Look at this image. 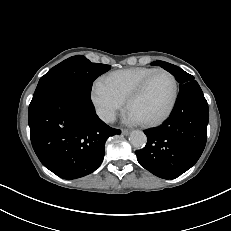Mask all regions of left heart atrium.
<instances>
[{"label": "left heart atrium", "mask_w": 231, "mask_h": 231, "mask_svg": "<svg viewBox=\"0 0 231 231\" xmlns=\"http://www.w3.org/2000/svg\"><path fill=\"white\" fill-rule=\"evenodd\" d=\"M125 121L130 124H137L140 122V120L129 111L125 115Z\"/></svg>", "instance_id": "1"}]
</instances>
